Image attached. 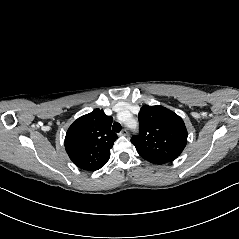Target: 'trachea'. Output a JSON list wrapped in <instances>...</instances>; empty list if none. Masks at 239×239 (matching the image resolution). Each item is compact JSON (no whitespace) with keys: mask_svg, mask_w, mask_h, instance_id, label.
I'll list each match as a JSON object with an SVG mask.
<instances>
[{"mask_svg":"<svg viewBox=\"0 0 239 239\" xmlns=\"http://www.w3.org/2000/svg\"><path fill=\"white\" fill-rule=\"evenodd\" d=\"M113 130H114L115 132H120L121 126H120V124H119L118 122H115V123L113 124Z\"/></svg>","mask_w":239,"mask_h":239,"instance_id":"trachea-1","label":"trachea"}]
</instances>
